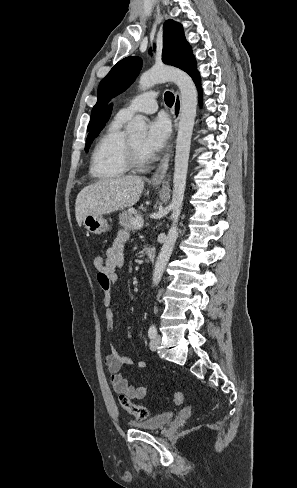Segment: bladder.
<instances>
[{"label":"bladder","mask_w":297,"mask_h":488,"mask_svg":"<svg viewBox=\"0 0 297 488\" xmlns=\"http://www.w3.org/2000/svg\"><path fill=\"white\" fill-rule=\"evenodd\" d=\"M173 418V412L159 413L144 421H130L129 425L140 430H158L166 426Z\"/></svg>","instance_id":"1"}]
</instances>
